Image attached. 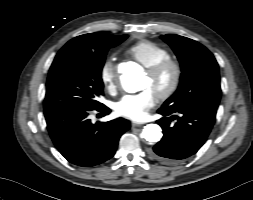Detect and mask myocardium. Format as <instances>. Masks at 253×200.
<instances>
[{
  "instance_id": "myocardium-1",
  "label": "myocardium",
  "mask_w": 253,
  "mask_h": 200,
  "mask_svg": "<svg viewBox=\"0 0 253 200\" xmlns=\"http://www.w3.org/2000/svg\"><path fill=\"white\" fill-rule=\"evenodd\" d=\"M146 73L153 79H157L165 73H170L169 84L164 89L156 92L158 99L166 100L178 89L182 77V68L177 61L170 58L147 67Z\"/></svg>"
}]
</instances>
